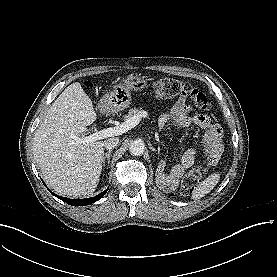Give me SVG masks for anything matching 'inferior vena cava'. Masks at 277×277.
Returning a JSON list of instances; mask_svg holds the SVG:
<instances>
[{
  "instance_id": "1",
  "label": "inferior vena cava",
  "mask_w": 277,
  "mask_h": 277,
  "mask_svg": "<svg viewBox=\"0 0 277 277\" xmlns=\"http://www.w3.org/2000/svg\"><path fill=\"white\" fill-rule=\"evenodd\" d=\"M119 143V138L118 137H112V138H108L107 140L104 141V147L106 149H112L114 147H116Z\"/></svg>"
}]
</instances>
